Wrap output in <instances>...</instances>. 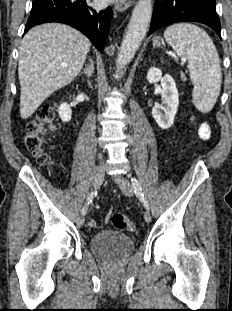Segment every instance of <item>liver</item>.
<instances>
[{"label": "liver", "instance_id": "1", "mask_svg": "<svg viewBox=\"0 0 232 311\" xmlns=\"http://www.w3.org/2000/svg\"><path fill=\"white\" fill-rule=\"evenodd\" d=\"M90 46L86 36L68 25L48 23L26 33L18 62L22 119L29 118L45 99L76 78Z\"/></svg>", "mask_w": 232, "mask_h": 311}]
</instances>
